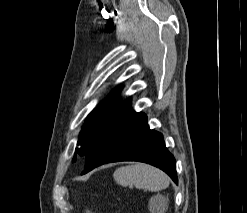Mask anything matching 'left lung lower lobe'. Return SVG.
<instances>
[{
  "label": "left lung lower lobe",
  "instance_id": "left-lung-lower-lobe-1",
  "mask_svg": "<svg viewBox=\"0 0 247 213\" xmlns=\"http://www.w3.org/2000/svg\"><path fill=\"white\" fill-rule=\"evenodd\" d=\"M140 161L166 172L177 183L176 162L161 133L150 130L147 116L131 107L95 142L85 155L82 175L102 164Z\"/></svg>",
  "mask_w": 247,
  "mask_h": 213
}]
</instances>
